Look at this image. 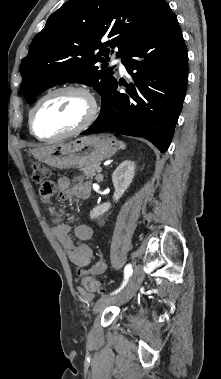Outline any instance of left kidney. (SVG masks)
<instances>
[{
    "instance_id": "obj_1",
    "label": "left kidney",
    "mask_w": 221,
    "mask_h": 379,
    "mask_svg": "<svg viewBox=\"0 0 221 379\" xmlns=\"http://www.w3.org/2000/svg\"><path fill=\"white\" fill-rule=\"evenodd\" d=\"M135 174V163L130 160L123 161L113 172L112 182L114 184L115 192L113 200L117 202L127 188L130 186ZM111 208L110 203H103L98 207H95L90 212L92 219L97 218L106 213Z\"/></svg>"
}]
</instances>
